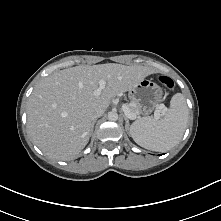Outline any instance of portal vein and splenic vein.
<instances>
[{
  "mask_svg": "<svg viewBox=\"0 0 221 221\" xmlns=\"http://www.w3.org/2000/svg\"><path fill=\"white\" fill-rule=\"evenodd\" d=\"M106 82L104 80L99 81V87L94 91L95 96H99L102 92V90L105 88ZM164 108V105H159L154 112V117L156 119H159L161 117L160 111ZM122 110L126 117H128L131 120H134L137 118L136 114L132 113L128 106L126 104L122 105Z\"/></svg>",
  "mask_w": 221,
  "mask_h": 221,
  "instance_id": "18ae733b",
  "label": "portal vein and splenic vein"
}]
</instances>
